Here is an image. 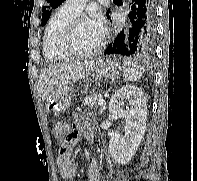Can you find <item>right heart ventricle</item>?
<instances>
[{
	"label": "right heart ventricle",
	"mask_w": 197,
	"mask_h": 181,
	"mask_svg": "<svg viewBox=\"0 0 197 181\" xmlns=\"http://www.w3.org/2000/svg\"><path fill=\"white\" fill-rule=\"evenodd\" d=\"M78 14L60 7L49 19L43 38V53L50 62H60L70 59L61 49V37L70 20Z\"/></svg>",
	"instance_id": "obj_1"
}]
</instances>
